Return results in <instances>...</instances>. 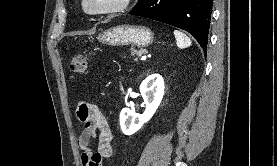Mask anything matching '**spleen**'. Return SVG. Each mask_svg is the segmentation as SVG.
Listing matches in <instances>:
<instances>
[{
    "label": "spleen",
    "instance_id": "3e777b00",
    "mask_svg": "<svg viewBox=\"0 0 277 166\" xmlns=\"http://www.w3.org/2000/svg\"><path fill=\"white\" fill-rule=\"evenodd\" d=\"M174 36L176 39L177 46L180 49H184L191 46V39L185 33L179 30H174Z\"/></svg>",
    "mask_w": 277,
    "mask_h": 166
}]
</instances>
